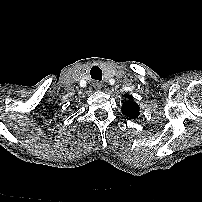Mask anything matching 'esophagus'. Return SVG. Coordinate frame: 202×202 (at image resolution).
Masks as SVG:
<instances>
[{
    "mask_svg": "<svg viewBox=\"0 0 202 202\" xmlns=\"http://www.w3.org/2000/svg\"><path fill=\"white\" fill-rule=\"evenodd\" d=\"M93 87H94L96 90L99 91V90L102 89L103 85H102L101 82H99V81H95V82L93 83Z\"/></svg>",
    "mask_w": 202,
    "mask_h": 202,
    "instance_id": "34e87169",
    "label": "esophagus"
}]
</instances>
